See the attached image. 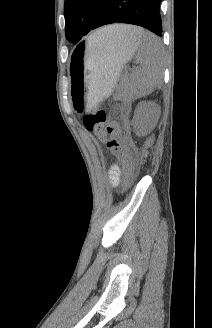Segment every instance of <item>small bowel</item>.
<instances>
[{"label":"small bowel","mask_w":212,"mask_h":328,"mask_svg":"<svg viewBox=\"0 0 212 328\" xmlns=\"http://www.w3.org/2000/svg\"><path fill=\"white\" fill-rule=\"evenodd\" d=\"M121 169L118 165H113L109 171V181L111 186L115 187L120 182Z\"/></svg>","instance_id":"small-bowel-1"}]
</instances>
